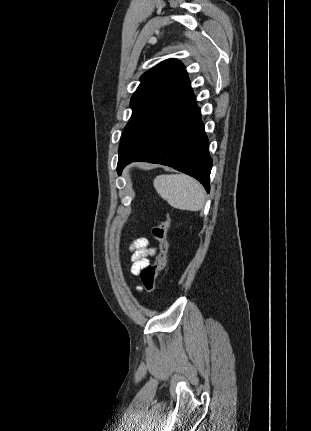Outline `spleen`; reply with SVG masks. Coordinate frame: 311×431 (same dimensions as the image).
<instances>
[{
    "label": "spleen",
    "mask_w": 311,
    "mask_h": 431,
    "mask_svg": "<svg viewBox=\"0 0 311 431\" xmlns=\"http://www.w3.org/2000/svg\"><path fill=\"white\" fill-rule=\"evenodd\" d=\"M153 186L157 194L177 210L198 212L204 206L205 192L201 184L186 174L156 176Z\"/></svg>",
    "instance_id": "obj_1"
}]
</instances>
